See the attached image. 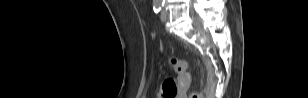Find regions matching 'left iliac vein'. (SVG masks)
Returning a JSON list of instances; mask_svg holds the SVG:
<instances>
[{
	"mask_svg": "<svg viewBox=\"0 0 308 98\" xmlns=\"http://www.w3.org/2000/svg\"><path fill=\"white\" fill-rule=\"evenodd\" d=\"M160 19L162 22H166L168 19V14L165 10H162L161 15H160Z\"/></svg>",
	"mask_w": 308,
	"mask_h": 98,
	"instance_id": "4c4485c4",
	"label": "left iliac vein"
}]
</instances>
